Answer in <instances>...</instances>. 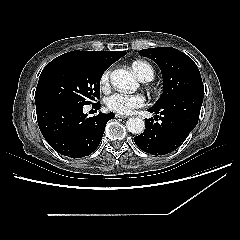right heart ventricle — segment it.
<instances>
[{
  "label": "right heart ventricle",
  "instance_id": "e07e8e85",
  "mask_svg": "<svg viewBox=\"0 0 240 240\" xmlns=\"http://www.w3.org/2000/svg\"><path fill=\"white\" fill-rule=\"evenodd\" d=\"M134 73L143 81H150L154 77L153 68L143 60H136L132 63Z\"/></svg>",
  "mask_w": 240,
  "mask_h": 240
}]
</instances>
